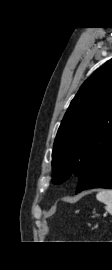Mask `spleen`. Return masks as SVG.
I'll return each mask as SVG.
<instances>
[{"instance_id": "spleen-1", "label": "spleen", "mask_w": 112, "mask_h": 270, "mask_svg": "<svg viewBox=\"0 0 112 270\" xmlns=\"http://www.w3.org/2000/svg\"><path fill=\"white\" fill-rule=\"evenodd\" d=\"M96 198L106 205V211L112 215V190H102L96 195Z\"/></svg>"}]
</instances>
